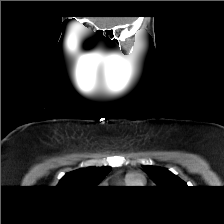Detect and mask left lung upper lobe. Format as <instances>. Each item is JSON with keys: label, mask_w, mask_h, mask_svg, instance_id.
I'll return each instance as SVG.
<instances>
[{"label": "left lung upper lobe", "mask_w": 224, "mask_h": 224, "mask_svg": "<svg viewBox=\"0 0 224 224\" xmlns=\"http://www.w3.org/2000/svg\"><path fill=\"white\" fill-rule=\"evenodd\" d=\"M143 168L159 188L176 189L187 186L184 181L165 168L149 165Z\"/></svg>", "instance_id": "5c2ea615"}]
</instances>
